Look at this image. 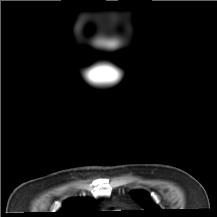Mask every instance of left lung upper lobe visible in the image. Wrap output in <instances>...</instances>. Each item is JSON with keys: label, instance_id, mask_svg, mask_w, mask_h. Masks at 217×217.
<instances>
[{"label": "left lung upper lobe", "instance_id": "1", "mask_svg": "<svg viewBox=\"0 0 217 217\" xmlns=\"http://www.w3.org/2000/svg\"><path fill=\"white\" fill-rule=\"evenodd\" d=\"M131 197L145 209V213L157 214L161 210L152 202L149 194L145 191H132Z\"/></svg>", "mask_w": 217, "mask_h": 217}]
</instances>
